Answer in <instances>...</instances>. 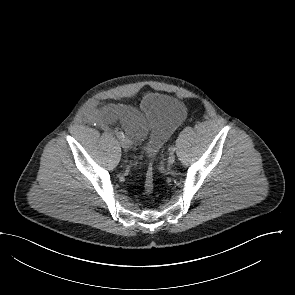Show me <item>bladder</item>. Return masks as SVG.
<instances>
[{
	"label": "bladder",
	"instance_id": "obj_1",
	"mask_svg": "<svg viewBox=\"0 0 295 295\" xmlns=\"http://www.w3.org/2000/svg\"><path fill=\"white\" fill-rule=\"evenodd\" d=\"M140 113L151 122L150 136L144 143L143 152L146 157L152 158L185 119L186 108L172 95L150 93L143 98Z\"/></svg>",
	"mask_w": 295,
	"mask_h": 295
}]
</instances>
